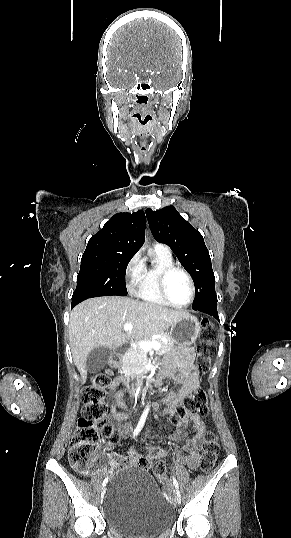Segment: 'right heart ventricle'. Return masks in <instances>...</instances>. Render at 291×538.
<instances>
[{
	"instance_id": "e07e8e85",
	"label": "right heart ventricle",
	"mask_w": 291,
	"mask_h": 538,
	"mask_svg": "<svg viewBox=\"0 0 291 538\" xmlns=\"http://www.w3.org/2000/svg\"><path fill=\"white\" fill-rule=\"evenodd\" d=\"M152 257L154 259L153 264L143 266L141 279L135 293L142 301L166 306L169 304L160 295L158 277L164 268L174 265L173 257L170 253L157 249L152 251Z\"/></svg>"
}]
</instances>
